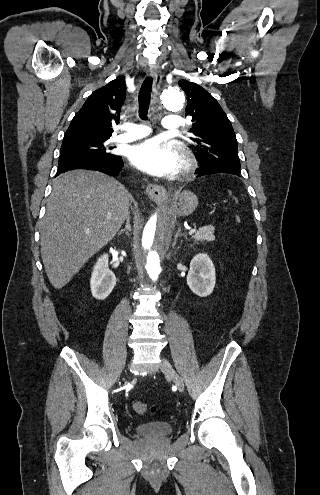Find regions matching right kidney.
<instances>
[{
    "label": "right kidney",
    "instance_id": "right-kidney-1",
    "mask_svg": "<svg viewBox=\"0 0 320 495\" xmlns=\"http://www.w3.org/2000/svg\"><path fill=\"white\" fill-rule=\"evenodd\" d=\"M116 285L115 274L110 271L108 254H103L96 262L91 280V293L97 300L106 299Z\"/></svg>",
    "mask_w": 320,
    "mask_h": 495
}]
</instances>
